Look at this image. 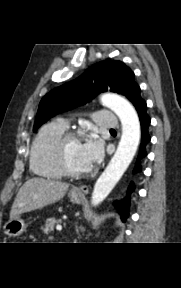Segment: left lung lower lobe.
Instances as JSON below:
<instances>
[{
  "instance_id": "0a47b994",
  "label": "left lung lower lobe",
  "mask_w": 181,
  "mask_h": 288,
  "mask_svg": "<svg viewBox=\"0 0 181 288\" xmlns=\"http://www.w3.org/2000/svg\"><path fill=\"white\" fill-rule=\"evenodd\" d=\"M131 102L133 103L135 109L137 110L140 123H141V132H142V140L140 146V153L138 155V159L133 170L134 173L141 171L140 160L144 158L147 153L145 147L147 143L150 141V136L148 134V127L150 125V118L146 113V102L140 96V90L134 95ZM134 191V183L131 182L128 187L127 196L121 201H115L114 205L118 209L119 214L123 221H125L128 217L129 212V203H130V194Z\"/></svg>"
}]
</instances>
